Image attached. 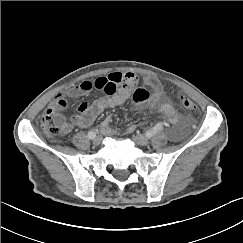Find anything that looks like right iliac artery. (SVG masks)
I'll return each instance as SVG.
<instances>
[{"instance_id":"1","label":"right iliac artery","mask_w":243,"mask_h":243,"mask_svg":"<svg viewBox=\"0 0 243 243\" xmlns=\"http://www.w3.org/2000/svg\"><path fill=\"white\" fill-rule=\"evenodd\" d=\"M88 137H89L90 139L95 138V137H96V131H94V130L89 131V132H88Z\"/></svg>"}]
</instances>
